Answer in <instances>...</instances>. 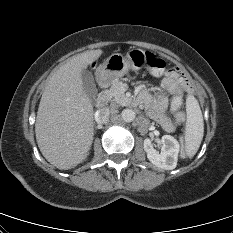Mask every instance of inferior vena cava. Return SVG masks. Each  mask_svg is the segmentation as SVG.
<instances>
[{
    "label": "inferior vena cava",
    "instance_id": "inferior-vena-cava-1",
    "mask_svg": "<svg viewBox=\"0 0 233 233\" xmlns=\"http://www.w3.org/2000/svg\"><path fill=\"white\" fill-rule=\"evenodd\" d=\"M111 110L108 107H103L95 113V120L99 124H106L109 121Z\"/></svg>",
    "mask_w": 233,
    "mask_h": 233
}]
</instances>
